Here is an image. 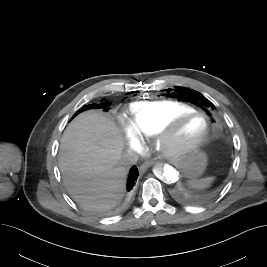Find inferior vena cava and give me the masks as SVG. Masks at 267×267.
Listing matches in <instances>:
<instances>
[{
	"mask_svg": "<svg viewBox=\"0 0 267 267\" xmlns=\"http://www.w3.org/2000/svg\"><path fill=\"white\" fill-rule=\"evenodd\" d=\"M122 161L124 162L125 165L129 166V165H134L137 163L138 161V154L134 153V152H130V153H124L122 155Z\"/></svg>",
	"mask_w": 267,
	"mask_h": 267,
	"instance_id": "inferior-vena-cava-1",
	"label": "inferior vena cava"
}]
</instances>
